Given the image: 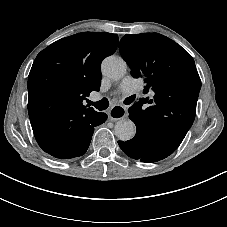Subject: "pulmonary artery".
Returning <instances> with one entry per match:
<instances>
[{
    "mask_svg": "<svg viewBox=\"0 0 227 227\" xmlns=\"http://www.w3.org/2000/svg\"><path fill=\"white\" fill-rule=\"evenodd\" d=\"M137 87V81L130 76L123 78L119 85V90L124 93H131Z\"/></svg>",
    "mask_w": 227,
    "mask_h": 227,
    "instance_id": "1",
    "label": "pulmonary artery"
}]
</instances>
